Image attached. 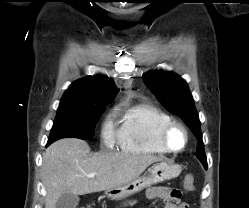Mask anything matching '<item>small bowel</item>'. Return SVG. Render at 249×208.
I'll use <instances>...</instances> for the list:
<instances>
[{"instance_id":"small-bowel-1","label":"small bowel","mask_w":249,"mask_h":208,"mask_svg":"<svg viewBox=\"0 0 249 208\" xmlns=\"http://www.w3.org/2000/svg\"><path fill=\"white\" fill-rule=\"evenodd\" d=\"M147 195L153 200L165 201V208H188L187 204L181 202L178 189L165 186H152L147 190Z\"/></svg>"}]
</instances>
